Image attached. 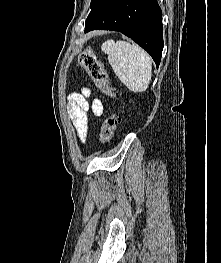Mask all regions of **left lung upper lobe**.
<instances>
[{"label": "left lung upper lobe", "mask_w": 221, "mask_h": 263, "mask_svg": "<svg viewBox=\"0 0 221 263\" xmlns=\"http://www.w3.org/2000/svg\"><path fill=\"white\" fill-rule=\"evenodd\" d=\"M101 0H91L90 8L92 9L95 7L98 3H100Z\"/></svg>", "instance_id": "left-lung-upper-lobe-1"}]
</instances>
